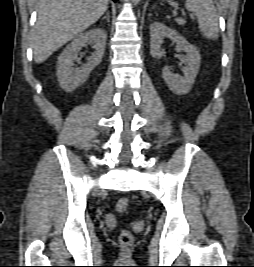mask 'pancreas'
<instances>
[{
	"label": "pancreas",
	"mask_w": 254,
	"mask_h": 267,
	"mask_svg": "<svg viewBox=\"0 0 254 267\" xmlns=\"http://www.w3.org/2000/svg\"><path fill=\"white\" fill-rule=\"evenodd\" d=\"M176 23H178L179 25H184L186 23V21L184 19L181 18H177L175 19Z\"/></svg>",
	"instance_id": "1"
}]
</instances>
